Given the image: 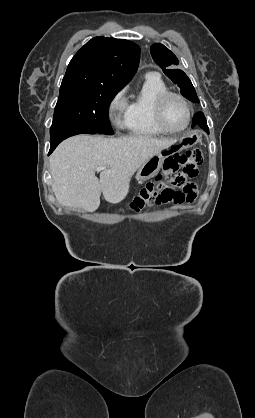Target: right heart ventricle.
I'll return each mask as SVG.
<instances>
[{
    "mask_svg": "<svg viewBox=\"0 0 255 418\" xmlns=\"http://www.w3.org/2000/svg\"><path fill=\"white\" fill-rule=\"evenodd\" d=\"M168 91L163 80L156 76H147L129 104L127 129L136 136H156L165 133L154 119V103L163 92Z\"/></svg>",
    "mask_w": 255,
    "mask_h": 418,
    "instance_id": "e07e8e85",
    "label": "right heart ventricle"
}]
</instances>
